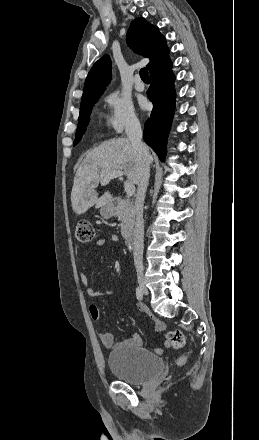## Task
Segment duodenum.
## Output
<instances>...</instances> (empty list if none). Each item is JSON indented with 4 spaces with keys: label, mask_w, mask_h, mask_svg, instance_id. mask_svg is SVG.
<instances>
[{
    "label": "duodenum",
    "mask_w": 259,
    "mask_h": 440,
    "mask_svg": "<svg viewBox=\"0 0 259 440\" xmlns=\"http://www.w3.org/2000/svg\"><path fill=\"white\" fill-rule=\"evenodd\" d=\"M117 203V201H112L110 203V206H114ZM125 243L128 248H131L133 246V234L131 232H127L124 236Z\"/></svg>",
    "instance_id": "1"
}]
</instances>
